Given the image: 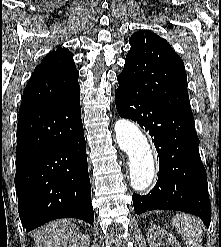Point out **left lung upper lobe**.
<instances>
[{
  "label": "left lung upper lobe",
  "mask_w": 221,
  "mask_h": 247,
  "mask_svg": "<svg viewBox=\"0 0 221 247\" xmlns=\"http://www.w3.org/2000/svg\"><path fill=\"white\" fill-rule=\"evenodd\" d=\"M131 45L122 73L135 94L192 115L184 63L170 44L157 34L140 30Z\"/></svg>",
  "instance_id": "obj_1"
}]
</instances>
